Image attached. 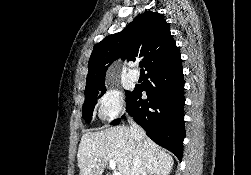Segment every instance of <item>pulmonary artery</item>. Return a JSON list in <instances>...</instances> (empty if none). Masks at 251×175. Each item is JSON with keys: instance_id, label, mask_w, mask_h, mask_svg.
<instances>
[{"instance_id": "1", "label": "pulmonary artery", "mask_w": 251, "mask_h": 175, "mask_svg": "<svg viewBox=\"0 0 251 175\" xmlns=\"http://www.w3.org/2000/svg\"><path fill=\"white\" fill-rule=\"evenodd\" d=\"M133 78L136 80V79H138V76H134Z\"/></svg>"}]
</instances>
